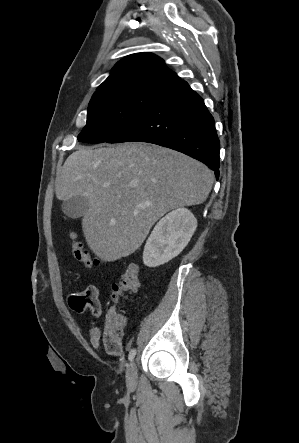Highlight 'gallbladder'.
Listing matches in <instances>:
<instances>
[{"instance_id":"obj_1","label":"gallbladder","mask_w":299,"mask_h":443,"mask_svg":"<svg viewBox=\"0 0 299 443\" xmlns=\"http://www.w3.org/2000/svg\"><path fill=\"white\" fill-rule=\"evenodd\" d=\"M89 208V200L82 195L73 196L62 203L63 213L72 218L77 219L82 217Z\"/></svg>"}]
</instances>
